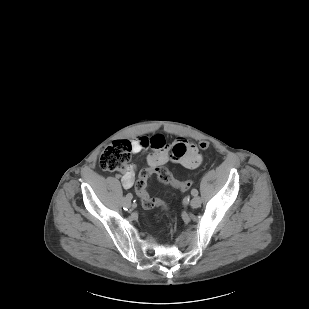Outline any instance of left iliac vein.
I'll return each instance as SVG.
<instances>
[{"label":"left iliac vein","instance_id":"1","mask_svg":"<svg viewBox=\"0 0 309 309\" xmlns=\"http://www.w3.org/2000/svg\"><path fill=\"white\" fill-rule=\"evenodd\" d=\"M202 203V199L199 196H195L191 201H190V206L192 208H198L200 207Z\"/></svg>","mask_w":309,"mask_h":309}]
</instances>
